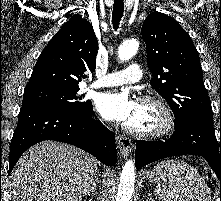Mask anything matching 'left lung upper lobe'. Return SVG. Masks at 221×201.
<instances>
[{
  "mask_svg": "<svg viewBox=\"0 0 221 201\" xmlns=\"http://www.w3.org/2000/svg\"><path fill=\"white\" fill-rule=\"evenodd\" d=\"M141 34L153 75L151 85L172 109L175 127L192 119L213 120L198 52L188 33L172 17L153 12Z\"/></svg>",
  "mask_w": 221,
  "mask_h": 201,
  "instance_id": "1",
  "label": "left lung upper lobe"
}]
</instances>
